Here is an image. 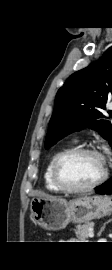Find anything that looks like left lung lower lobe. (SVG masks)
<instances>
[{"mask_svg":"<svg viewBox=\"0 0 112 270\" xmlns=\"http://www.w3.org/2000/svg\"><path fill=\"white\" fill-rule=\"evenodd\" d=\"M97 194H112V178H110L107 182L102 184L96 190Z\"/></svg>","mask_w":112,"mask_h":270,"instance_id":"0a47b994","label":"left lung lower lobe"}]
</instances>
